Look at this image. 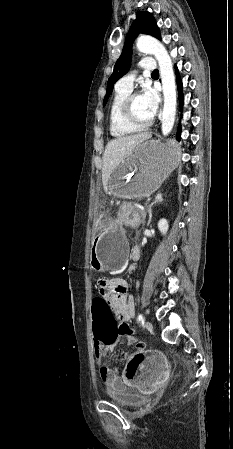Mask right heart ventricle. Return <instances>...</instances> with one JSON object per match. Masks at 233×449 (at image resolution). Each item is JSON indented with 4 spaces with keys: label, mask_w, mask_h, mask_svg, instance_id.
Listing matches in <instances>:
<instances>
[{
    "label": "right heart ventricle",
    "mask_w": 233,
    "mask_h": 449,
    "mask_svg": "<svg viewBox=\"0 0 233 449\" xmlns=\"http://www.w3.org/2000/svg\"><path fill=\"white\" fill-rule=\"evenodd\" d=\"M130 92L129 88L116 86L109 105V130L115 138L129 136L141 129L124 121L120 113L122 101Z\"/></svg>",
    "instance_id": "e07e8e85"
}]
</instances>
